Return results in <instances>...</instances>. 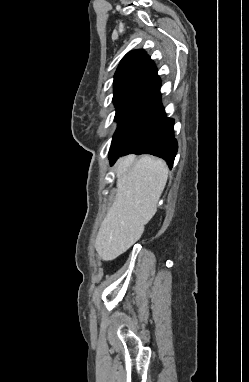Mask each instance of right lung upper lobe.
Instances as JSON below:
<instances>
[{"label":"right lung upper lobe","instance_id":"1","mask_svg":"<svg viewBox=\"0 0 249 382\" xmlns=\"http://www.w3.org/2000/svg\"><path fill=\"white\" fill-rule=\"evenodd\" d=\"M160 79L154 62L144 50L125 55L114 76L115 105L127 102L154 104L160 100Z\"/></svg>","mask_w":249,"mask_h":382}]
</instances>
